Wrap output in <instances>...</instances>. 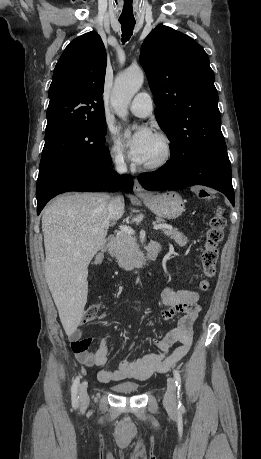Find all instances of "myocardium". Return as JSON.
Wrapping results in <instances>:
<instances>
[{"label": "myocardium", "instance_id": "myocardium-1", "mask_svg": "<svg viewBox=\"0 0 261 459\" xmlns=\"http://www.w3.org/2000/svg\"><path fill=\"white\" fill-rule=\"evenodd\" d=\"M155 137L161 142L163 153L157 160L143 165V169L148 171L159 170L166 166L173 154L172 142L166 134L159 132L155 134Z\"/></svg>", "mask_w": 261, "mask_h": 459}]
</instances>
